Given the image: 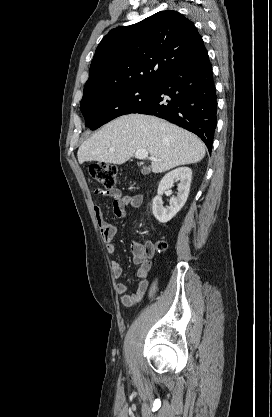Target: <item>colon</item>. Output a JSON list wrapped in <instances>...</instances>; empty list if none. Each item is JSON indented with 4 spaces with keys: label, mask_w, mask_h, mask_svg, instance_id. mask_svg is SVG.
Returning <instances> with one entry per match:
<instances>
[{
    "label": "colon",
    "mask_w": 272,
    "mask_h": 417,
    "mask_svg": "<svg viewBox=\"0 0 272 417\" xmlns=\"http://www.w3.org/2000/svg\"><path fill=\"white\" fill-rule=\"evenodd\" d=\"M89 173L94 180L104 185L105 187H114L117 183L118 171L117 168L112 164L105 162L93 163L89 167ZM165 248L166 244L164 242H157V250L161 251Z\"/></svg>",
    "instance_id": "1"
}]
</instances>
